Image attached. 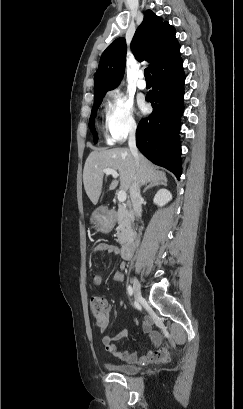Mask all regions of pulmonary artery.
<instances>
[{
    "instance_id": "1",
    "label": "pulmonary artery",
    "mask_w": 243,
    "mask_h": 409,
    "mask_svg": "<svg viewBox=\"0 0 243 409\" xmlns=\"http://www.w3.org/2000/svg\"><path fill=\"white\" fill-rule=\"evenodd\" d=\"M137 87L141 90H144L147 87V84L144 80V74L140 72L139 74V79L137 81Z\"/></svg>"
}]
</instances>
